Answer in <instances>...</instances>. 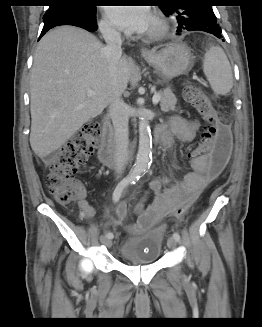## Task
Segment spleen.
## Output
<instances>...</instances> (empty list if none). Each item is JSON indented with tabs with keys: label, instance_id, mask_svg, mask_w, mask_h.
Listing matches in <instances>:
<instances>
[{
	"label": "spleen",
	"instance_id": "1",
	"mask_svg": "<svg viewBox=\"0 0 262 327\" xmlns=\"http://www.w3.org/2000/svg\"><path fill=\"white\" fill-rule=\"evenodd\" d=\"M203 71L214 93L226 95L233 87L232 70L223 49L210 46L204 57Z\"/></svg>",
	"mask_w": 262,
	"mask_h": 327
}]
</instances>
